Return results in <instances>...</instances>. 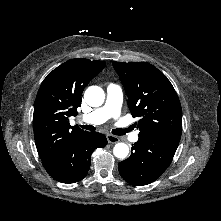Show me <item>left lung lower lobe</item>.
I'll return each mask as SVG.
<instances>
[{"instance_id": "obj_1", "label": "left lung lower lobe", "mask_w": 221, "mask_h": 221, "mask_svg": "<svg viewBox=\"0 0 221 221\" xmlns=\"http://www.w3.org/2000/svg\"><path fill=\"white\" fill-rule=\"evenodd\" d=\"M176 149L139 138L129 158L118 164L121 177L132 185H147L159 178L170 165Z\"/></svg>"}]
</instances>
